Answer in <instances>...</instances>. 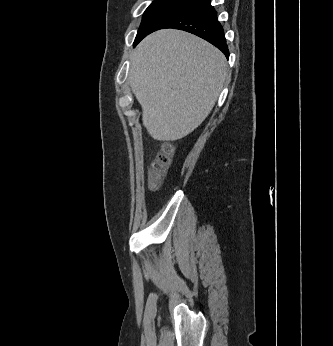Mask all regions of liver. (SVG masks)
Returning <instances> with one entry per match:
<instances>
[{"label": "liver", "mask_w": 333, "mask_h": 346, "mask_svg": "<svg viewBox=\"0 0 333 346\" xmlns=\"http://www.w3.org/2000/svg\"><path fill=\"white\" fill-rule=\"evenodd\" d=\"M226 75L223 53L195 35L162 29L143 39L129 79L149 135L174 141L194 131L210 114Z\"/></svg>", "instance_id": "obj_1"}]
</instances>
